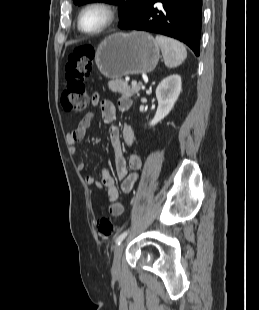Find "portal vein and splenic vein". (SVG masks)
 I'll return each mask as SVG.
<instances>
[{
  "label": "portal vein and splenic vein",
  "mask_w": 259,
  "mask_h": 310,
  "mask_svg": "<svg viewBox=\"0 0 259 310\" xmlns=\"http://www.w3.org/2000/svg\"><path fill=\"white\" fill-rule=\"evenodd\" d=\"M131 85H132V86H136V85H137V81H135V80L132 81V82H131Z\"/></svg>",
  "instance_id": "1"
}]
</instances>
